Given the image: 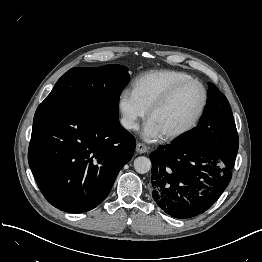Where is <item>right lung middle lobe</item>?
<instances>
[{
  "instance_id": "1",
  "label": "right lung middle lobe",
  "mask_w": 262,
  "mask_h": 262,
  "mask_svg": "<svg viewBox=\"0 0 262 262\" xmlns=\"http://www.w3.org/2000/svg\"><path fill=\"white\" fill-rule=\"evenodd\" d=\"M128 81L127 68L121 65L75 67L60 77L42 103L77 106L115 122L119 120V96Z\"/></svg>"
}]
</instances>
